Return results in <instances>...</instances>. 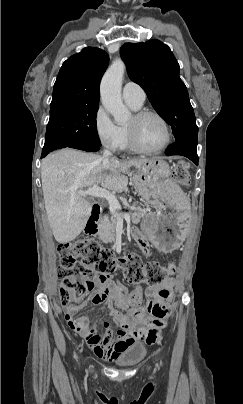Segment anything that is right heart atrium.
Returning a JSON list of instances; mask_svg holds the SVG:
<instances>
[{"mask_svg":"<svg viewBox=\"0 0 243 404\" xmlns=\"http://www.w3.org/2000/svg\"><path fill=\"white\" fill-rule=\"evenodd\" d=\"M93 127L99 144L112 151L122 150V134L102 104L98 105L93 115Z\"/></svg>","mask_w":243,"mask_h":404,"instance_id":"right-heart-atrium-1","label":"right heart atrium"}]
</instances>
